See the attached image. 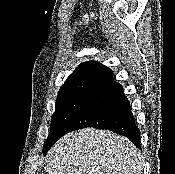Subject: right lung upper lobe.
Instances as JSON below:
<instances>
[{
  "label": "right lung upper lobe",
  "mask_w": 175,
  "mask_h": 174,
  "mask_svg": "<svg viewBox=\"0 0 175 174\" xmlns=\"http://www.w3.org/2000/svg\"><path fill=\"white\" fill-rule=\"evenodd\" d=\"M112 76L113 71L98 61L84 62L66 79L58 96L71 93H90Z\"/></svg>",
  "instance_id": "1"
}]
</instances>
